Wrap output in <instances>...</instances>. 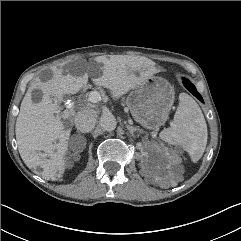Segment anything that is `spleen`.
I'll list each match as a JSON object with an SVG mask.
<instances>
[{
	"label": "spleen",
	"mask_w": 241,
	"mask_h": 241,
	"mask_svg": "<svg viewBox=\"0 0 241 241\" xmlns=\"http://www.w3.org/2000/svg\"><path fill=\"white\" fill-rule=\"evenodd\" d=\"M179 106L171 127L162 130L159 137L172 145H181L193 162L198 161L207 144V125L196 101L186 93H180Z\"/></svg>",
	"instance_id": "1"
}]
</instances>
